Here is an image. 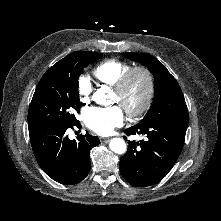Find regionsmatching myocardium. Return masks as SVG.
I'll return each mask as SVG.
<instances>
[{"label":"myocardium","instance_id":"myocardium-1","mask_svg":"<svg viewBox=\"0 0 221 221\" xmlns=\"http://www.w3.org/2000/svg\"><path fill=\"white\" fill-rule=\"evenodd\" d=\"M140 75L144 78L146 89L145 95L143 97L140 105L134 109L125 108L127 115L130 118H138L147 112L149 107L151 106L152 100L155 94V78L150 69L144 66H135L131 67L118 81V83L114 86V92L119 97L120 101H122L134 79L135 76Z\"/></svg>","mask_w":221,"mask_h":221}]
</instances>
